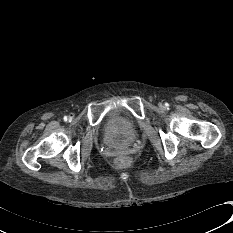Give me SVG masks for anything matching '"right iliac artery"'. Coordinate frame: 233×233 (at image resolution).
I'll return each instance as SVG.
<instances>
[{"instance_id":"1","label":"right iliac artery","mask_w":233,"mask_h":233,"mask_svg":"<svg viewBox=\"0 0 233 233\" xmlns=\"http://www.w3.org/2000/svg\"><path fill=\"white\" fill-rule=\"evenodd\" d=\"M63 119H64V121H67V120H68L67 116H64V118H63Z\"/></svg>"}]
</instances>
